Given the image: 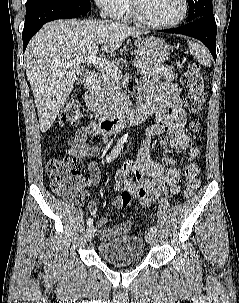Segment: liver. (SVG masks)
Returning a JSON list of instances; mask_svg holds the SVG:
<instances>
[{"instance_id": "6515ba94", "label": "liver", "mask_w": 239, "mask_h": 303, "mask_svg": "<svg viewBox=\"0 0 239 303\" xmlns=\"http://www.w3.org/2000/svg\"><path fill=\"white\" fill-rule=\"evenodd\" d=\"M144 32L109 20H57L45 24L30 40L24 54L25 69L38 111L40 129L53 124L81 74L77 59L100 44L113 54L130 36Z\"/></svg>"}]
</instances>
